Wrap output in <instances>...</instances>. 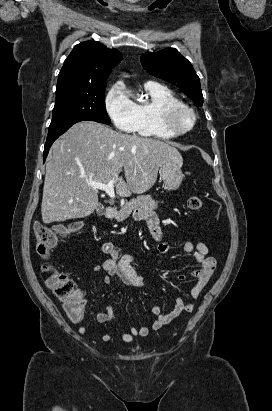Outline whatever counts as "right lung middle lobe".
<instances>
[{
  "label": "right lung middle lobe",
  "instance_id": "1",
  "mask_svg": "<svg viewBox=\"0 0 272 411\" xmlns=\"http://www.w3.org/2000/svg\"><path fill=\"white\" fill-rule=\"evenodd\" d=\"M105 88L106 83L56 92L47 138L62 134L73 124L84 120L110 124L105 107Z\"/></svg>",
  "mask_w": 272,
  "mask_h": 411
}]
</instances>
